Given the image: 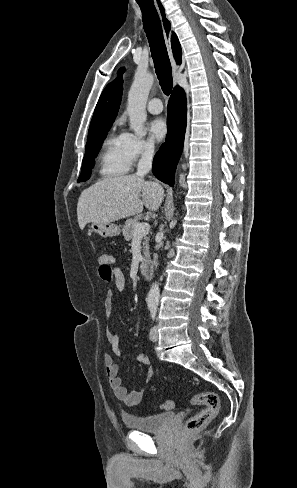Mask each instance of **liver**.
<instances>
[{
  "instance_id": "1",
  "label": "liver",
  "mask_w": 297,
  "mask_h": 488,
  "mask_svg": "<svg viewBox=\"0 0 297 488\" xmlns=\"http://www.w3.org/2000/svg\"><path fill=\"white\" fill-rule=\"evenodd\" d=\"M142 198V199H141ZM164 198V189L157 182L142 176L125 175L104 178L85 189L78 200L79 227L87 223H112L143 211H157Z\"/></svg>"
}]
</instances>
